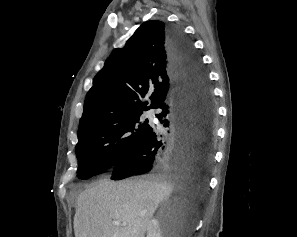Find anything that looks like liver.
<instances>
[{"label":"liver","mask_w":297,"mask_h":237,"mask_svg":"<svg viewBox=\"0 0 297 237\" xmlns=\"http://www.w3.org/2000/svg\"><path fill=\"white\" fill-rule=\"evenodd\" d=\"M191 182L190 176L178 175L99 180L77 197L75 237H144L159 203L176 184L182 188Z\"/></svg>","instance_id":"6515ba94"}]
</instances>
